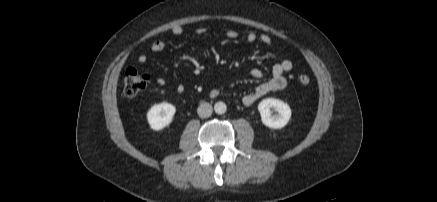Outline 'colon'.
Instances as JSON below:
<instances>
[{"label":"colon","instance_id":"1","mask_svg":"<svg viewBox=\"0 0 437 202\" xmlns=\"http://www.w3.org/2000/svg\"><path fill=\"white\" fill-rule=\"evenodd\" d=\"M149 81V75L138 71L134 67H129L124 77V94L127 97H134L140 94L147 88ZM297 81L300 85L307 86L310 82V78L306 74H300L297 77Z\"/></svg>","mask_w":437,"mask_h":202}]
</instances>
